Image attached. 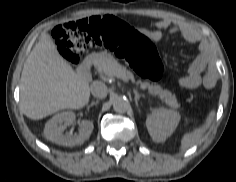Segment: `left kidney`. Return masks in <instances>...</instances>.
Returning a JSON list of instances; mask_svg holds the SVG:
<instances>
[{"label": "left kidney", "mask_w": 236, "mask_h": 182, "mask_svg": "<svg viewBox=\"0 0 236 182\" xmlns=\"http://www.w3.org/2000/svg\"><path fill=\"white\" fill-rule=\"evenodd\" d=\"M180 114L171 109L157 108L147 116L146 126L155 142H164L176 129Z\"/></svg>", "instance_id": "1"}]
</instances>
